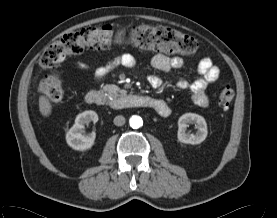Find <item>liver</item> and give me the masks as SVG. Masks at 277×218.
Returning <instances> with one entry per match:
<instances>
[{"label": "liver", "mask_w": 277, "mask_h": 218, "mask_svg": "<svg viewBox=\"0 0 277 218\" xmlns=\"http://www.w3.org/2000/svg\"><path fill=\"white\" fill-rule=\"evenodd\" d=\"M39 111L44 117H48L52 112V104L49 99L43 95L39 97Z\"/></svg>", "instance_id": "1"}]
</instances>
